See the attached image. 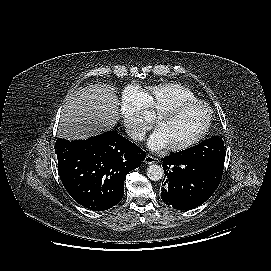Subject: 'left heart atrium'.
Wrapping results in <instances>:
<instances>
[{
  "label": "left heart atrium",
  "mask_w": 271,
  "mask_h": 271,
  "mask_svg": "<svg viewBox=\"0 0 271 271\" xmlns=\"http://www.w3.org/2000/svg\"><path fill=\"white\" fill-rule=\"evenodd\" d=\"M148 147L153 151H158L168 147L167 141L163 133L156 129L148 139Z\"/></svg>",
  "instance_id": "left-heart-atrium-1"
}]
</instances>
